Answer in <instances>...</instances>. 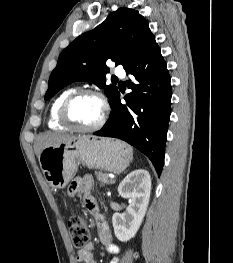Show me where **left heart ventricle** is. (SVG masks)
Masks as SVG:
<instances>
[{
  "mask_svg": "<svg viewBox=\"0 0 233 263\" xmlns=\"http://www.w3.org/2000/svg\"><path fill=\"white\" fill-rule=\"evenodd\" d=\"M102 114V105L94 97L77 99L69 110L71 119L79 126L90 127L95 125Z\"/></svg>",
  "mask_w": 233,
  "mask_h": 263,
  "instance_id": "1",
  "label": "left heart ventricle"
}]
</instances>
